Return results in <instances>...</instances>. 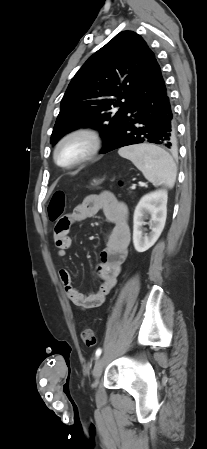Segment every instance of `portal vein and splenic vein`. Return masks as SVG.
<instances>
[{
    "instance_id": "18ae733b",
    "label": "portal vein and splenic vein",
    "mask_w": 207,
    "mask_h": 449,
    "mask_svg": "<svg viewBox=\"0 0 207 449\" xmlns=\"http://www.w3.org/2000/svg\"><path fill=\"white\" fill-rule=\"evenodd\" d=\"M144 185H145V183H143V182L140 183V186H144Z\"/></svg>"
}]
</instances>
